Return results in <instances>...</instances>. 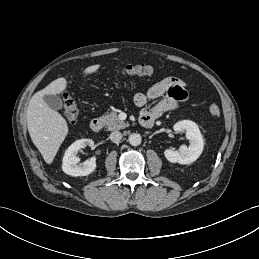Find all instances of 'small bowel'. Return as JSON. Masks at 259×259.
Wrapping results in <instances>:
<instances>
[{
	"label": "small bowel",
	"mask_w": 259,
	"mask_h": 259,
	"mask_svg": "<svg viewBox=\"0 0 259 259\" xmlns=\"http://www.w3.org/2000/svg\"><path fill=\"white\" fill-rule=\"evenodd\" d=\"M162 97L152 108H147L150 100ZM188 99L185 83L176 77H166L151 86L145 92H138L134 96L135 104L141 108V116L152 119L159 118L163 113L174 111Z\"/></svg>",
	"instance_id": "c3829d8e"
}]
</instances>
